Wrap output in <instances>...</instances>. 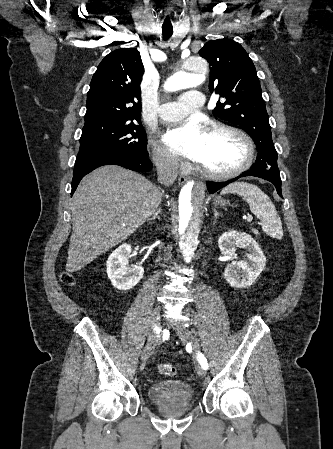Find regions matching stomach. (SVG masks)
<instances>
[{
  "instance_id": "obj_1",
  "label": "stomach",
  "mask_w": 333,
  "mask_h": 449,
  "mask_svg": "<svg viewBox=\"0 0 333 449\" xmlns=\"http://www.w3.org/2000/svg\"><path fill=\"white\" fill-rule=\"evenodd\" d=\"M215 203L220 205V206H224L226 204L225 201L220 199V198H216L215 199Z\"/></svg>"
}]
</instances>
